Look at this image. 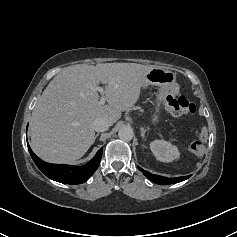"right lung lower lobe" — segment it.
<instances>
[{"label":"right lung lower lobe","mask_w":237,"mask_h":237,"mask_svg":"<svg viewBox=\"0 0 237 237\" xmlns=\"http://www.w3.org/2000/svg\"><path fill=\"white\" fill-rule=\"evenodd\" d=\"M28 150L37 167L50 179L65 184H81L85 182L98 168L102 148L95 157L84 166L50 164L38 158L28 145Z\"/></svg>","instance_id":"98d812e1"}]
</instances>
